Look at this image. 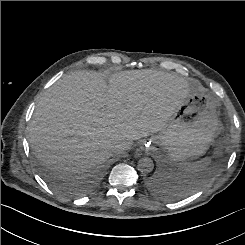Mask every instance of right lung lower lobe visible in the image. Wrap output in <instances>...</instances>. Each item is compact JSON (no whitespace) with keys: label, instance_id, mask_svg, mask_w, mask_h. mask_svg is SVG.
Here are the masks:
<instances>
[{"label":"right lung lower lobe","instance_id":"obj_1","mask_svg":"<svg viewBox=\"0 0 245 245\" xmlns=\"http://www.w3.org/2000/svg\"><path fill=\"white\" fill-rule=\"evenodd\" d=\"M48 181L50 183V185L56 189L57 191L64 193V194H68L71 195L73 192L66 186V184H64V182H62L59 178L57 177H49Z\"/></svg>","mask_w":245,"mask_h":245}]
</instances>
